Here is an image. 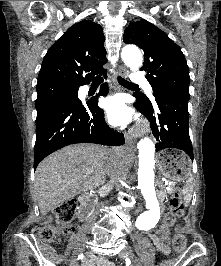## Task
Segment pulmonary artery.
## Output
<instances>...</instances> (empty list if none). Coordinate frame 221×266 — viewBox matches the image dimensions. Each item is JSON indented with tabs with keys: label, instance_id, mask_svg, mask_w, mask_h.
<instances>
[{
	"label": "pulmonary artery",
	"instance_id": "1",
	"mask_svg": "<svg viewBox=\"0 0 221 266\" xmlns=\"http://www.w3.org/2000/svg\"><path fill=\"white\" fill-rule=\"evenodd\" d=\"M132 80L136 83H140L144 80V76L142 73H137V74L132 76ZM145 87H146L148 93H152V87L149 84H147Z\"/></svg>",
	"mask_w": 221,
	"mask_h": 266
}]
</instances>
